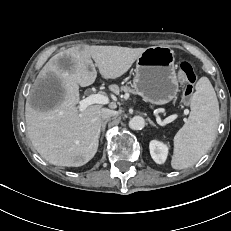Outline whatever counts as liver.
Instances as JSON below:
<instances>
[{"label":"liver","mask_w":231,"mask_h":231,"mask_svg":"<svg viewBox=\"0 0 231 231\" xmlns=\"http://www.w3.org/2000/svg\"><path fill=\"white\" fill-rule=\"evenodd\" d=\"M145 50L78 45L60 51L44 65L36 85L56 80L58 91L54 100L57 103L42 109L32 106L29 98L25 107L28 136L44 160L53 165L79 167L94 157L99 144L103 106L90 105L80 112L76 106L80 101L79 86L86 87L95 82V67L105 79L122 76Z\"/></svg>","instance_id":"liver-1"}]
</instances>
